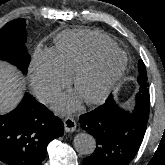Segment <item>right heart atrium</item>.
Returning <instances> with one entry per match:
<instances>
[{"label": "right heart atrium", "mask_w": 165, "mask_h": 165, "mask_svg": "<svg viewBox=\"0 0 165 165\" xmlns=\"http://www.w3.org/2000/svg\"><path fill=\"white\" fill-rule=\"evenodd\" d=\"M68 83L67 73L60 67L53 53L38 50L34 57L32 86L43 100H49Z\"/></svg>", "instance_id": "1"}]
</instances>
